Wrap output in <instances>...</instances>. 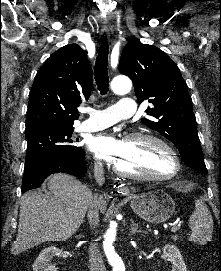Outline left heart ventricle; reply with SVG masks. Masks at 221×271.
<instances>
[{
    "instance_id": "left-heart-ventricle-1",
    "label": "left heart ventricle",
    "mask_w": 221,
    "mask_h": 271,
    "mask_svg": "<svg viewBox=\"0 0 221 271\" xmlns=\"http://www.w3.org/2000/svg\"><path fill=\"white\" fill-rule=\"evenodd\" d=\"M154 141L157 140L150 137H141L135 141L139 149H133L134 156H122V160L116 163V168H120L119 175H146L147 169H154V176H171L170 169H174V166H168L164 160L169 154L152 149Z\"/></svg>"
}]
</instances>
